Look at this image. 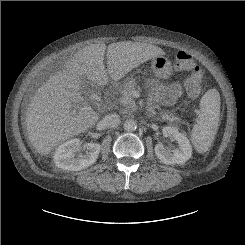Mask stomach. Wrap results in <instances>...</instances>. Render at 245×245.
<instances>
[{
	"mask_svg": "<svg viewBox=\"0 0 245 245\" xmlns=\"http://www.w3.org/2000/svg\"><path fill=\"white\" fill-rule=\"evenodd\" d=\"M151 68L153 73L160 78H166L171 74V63L165 56H157L152 59Z\"/></svg>",
	"mask_w": 245,
	"mask_h": 245,
	"instance_id": "1",
	"label": "stomach"
}]
</instances>
